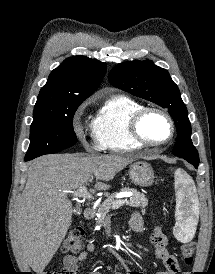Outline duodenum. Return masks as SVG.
Instances as JSON below:
<instances>
[{
  "mask_svg": "<svg viewBox=\"0 0 215 274\" xmlns=\"http://www.w3.org/2000/svg\"><path fill=\"white\" fill-rule=\"evenodd\" d=\"M94 214H95V209H94L92 206L87 207V208L84 210V213H83L84 218H85L86 220L92 219L93 216H94Z\"/></svg>",
  "mask_w": 215,
  "mask_h": 274,
  "instance_id": "obj_1",
  "label": "duodenum"
}]
</instances>
